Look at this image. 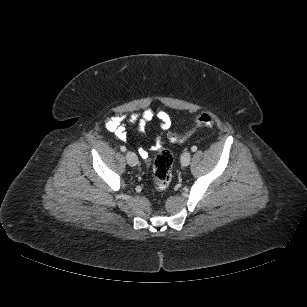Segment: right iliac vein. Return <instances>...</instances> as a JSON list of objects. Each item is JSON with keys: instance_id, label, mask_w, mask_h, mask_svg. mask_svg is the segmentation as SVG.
Listing matches in <instances>:
<instances>
[{"instance_id": "63e3f726", "label": "right iliac vein", "mask_w": 307, "mask_h": 307, "mask_svg": "<svg viewBox=\"0 0 307 307\" xmlns=\"http://www.w3.org/2000/svg\"><path fill=\"white\" fill-rule=\"evenodd\" d=\"M126 161L130 166H136L138 164L136 154L130 151L126 153Z\"/></svg>"}]
</instances>
